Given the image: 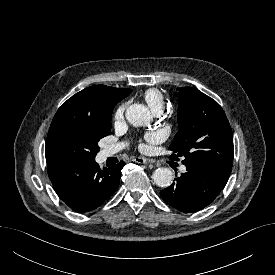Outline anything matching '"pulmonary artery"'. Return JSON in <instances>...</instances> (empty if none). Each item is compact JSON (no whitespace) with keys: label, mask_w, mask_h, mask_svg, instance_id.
I'll list each match as a JSON object with an SVG mask.
<instances>
[{"label":"pulmonary artery","mask_w":275,"mask_h":275,"mask_svg":"<svg viewBox=\"0 0 275 275\" xmlns=\"http://www.w3.org/2000/svg\"><path fill=\"white\" fill-rule=\"evenodd\" d=\"M155 114H160L161 113V110H156L154 111ZM123 148V145H115V146H108L105 150H104V154L106 156H112L114 154H116L117 152H119L121 149ZM181 172H185L186 170V167L185 166H182L180 168Z\"/></svg>","instance_id":"1"}]
</instances>
